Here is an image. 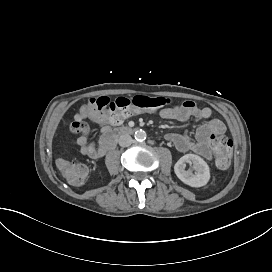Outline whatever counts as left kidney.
<instances>
[{
	"mask_svg": "<svg viewBox=\"0 0 272 272\" xmlns=\"http://www.w3.org/2000/svg\"><path fill=\"white\" fill-rule=\"evenodd\" d=\"M186 162H189L191 165H193L192 170L187 171L185 169ZM175 173L184 183L194 187L205 185L209 179L208 165L202 158L194 154H187L182 156L175 164Z\"/></svg>",
	"mask_w": 272,
	"mask_h": 272,
	"instance_id": "obj_1",
	"label": "left kidney"
}]
</instances>
